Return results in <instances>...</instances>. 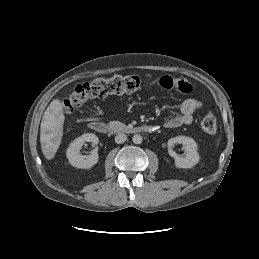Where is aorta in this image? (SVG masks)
Listing matches in <instances>:
<instances>
[{
    "mask_svg": "<svg viewBox=\"0 0 259 259\" xmlns=\"http://www.w3.org/2000/svg\"><path fill=\"white\" fill-rule=\"evenodd\" d=\"M132 141L134 144H140L142 143V136L139 134H135L132 138Z\"/></svg>",
    "mask_w": 259,
    "mask_h": 259,
    "instance_id": "762f6f07",
    "label": "aorta"
}]
</instances>
